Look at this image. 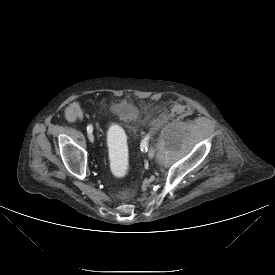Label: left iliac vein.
Instances as JSON below:
<instances>
[{
  "label": "left iliac vein",
  "instance_id": "4c4485c4",
  "mask_svg": "<svg viewBox=\"0 0 275 275\" xmlns=\"http://www.w3.org/2000/svg\"><path fill=\"white\" fill-rule=\"evenodd\" d=\"M154 155H155V149H154V148H151V149L149 150V152H148V156H149L150 158H152Z\"/></svg>",
  "mask_w": 275,
  "mask_h": 275
}]
</instances>
